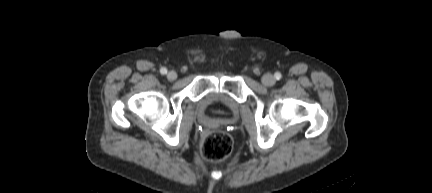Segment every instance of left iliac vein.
Wrapping results in <instances>:
<instances>
[{
    "mask_svg": "<svg viewBox=\"0 0 432 193\" xmlns=\"http://www.w3.org/2000/svg\"><path fill=\"white\" fill-rule=\"evenodd\" d=\"M275 82H276L275 77L273 75H271V74H265L262 77V83L265 86H272V85L275 84Z\"/></svg>",
    "mask_w": 432,
    "mask_h": 193,
    "instance_id": "4c4485c4",
    "label": "left iliac vein"
}]
</instances>
